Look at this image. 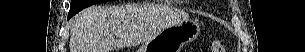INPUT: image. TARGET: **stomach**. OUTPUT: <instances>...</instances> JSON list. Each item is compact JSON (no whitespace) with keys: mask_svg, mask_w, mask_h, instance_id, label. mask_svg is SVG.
<instances>
[{"mask_svg":"<svg viewBox=\"0 0 305 52\" xmlns=\"http://www.w3.org/2000/svg\"><path fill=\"white\" fill-rule=\"evenodd\" d=\"M200 34V25L193 20H184L160 31L145 42L137 52H181L182 48Z\"/></svg>","mask_w":305,"mask_h":52,"instance_id":"stomach-1","label":"stomach"}]
</instances>
